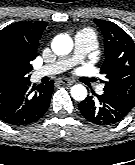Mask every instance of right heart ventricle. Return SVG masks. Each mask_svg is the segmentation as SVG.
I'll use <instances>...</instances> for the list:
<instances>
[{"label": "right heart ventricle", "instance_id": "obj_1", "mask_svg": "<svg viewBox=\"0 0 135 165\" xmlns=\"http://www.w3.org/2000/svg\"><path fill=\"white\" fill-rule=\"evenodd\" d=\"M85 32L90 33V34L92 35V38H93V34H92V32H90L89 30H86ZM93 40H94V38H93Z\"/></svg>", "mask_w": 135, "mask_h": 165}]
</instances>
